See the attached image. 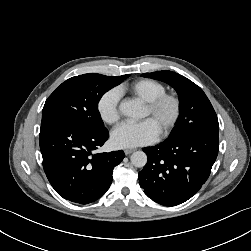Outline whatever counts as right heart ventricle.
Listing matches in <instances>:
<instances>
[{"label":"right heart ventricle","instance_id":"right-heart-ventricle-1","mask_svg":"<svg viewBox=\"0 0 251 251\" xmlns=\"http://www.w3.org/2000/svg\"><path fill=\"white\" fill-rule=\"evenodd\" d=\"M122 93H130L143 102H149L155 97L165 93V86L153 79H140L119 89Z\"/></svg>","mask_w":251,"mask_h":251}]
</instances>
